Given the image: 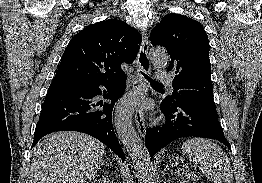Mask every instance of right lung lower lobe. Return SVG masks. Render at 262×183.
Segmentation results:
<instances>
[{
    "label": "right lung lower lobe",
    "instance_id": "right-lung-lower-lobe-1",
    "mask_svg": "<svg viewBox=\"0 0 262 183\" xmlns=\"http://www.w3.org/2000/svg\"><path fill=\"white\" fill-rule=\"evenodd\" d=\"M101 87L106 90L102 91ZM125 87V74L111 80L49 87L36 125L32 147L49 133L78 131L97 138L125 160L112 125L113 106L124 93ZM102 93L111 103L96 100V96Z\"/></svg>",
    "mask_w": 262,
    "mask_h": 183
}]
</instances>
